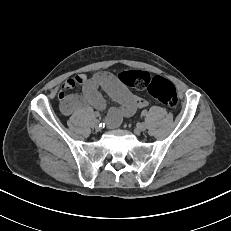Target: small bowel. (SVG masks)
I'll list each match as a JSON object with an SVG mask.
<instances>
[{"label": "small bowel", "instance_id": "c3829d8e", "mask_svg": "<svg viewBox=\"0 0 231 231\" xmlns=\"http://www.w3.org/2000/svg\"><path fill=\"white\" fill-rule=\"evenodd\" d=\"M76 86H81L82 93L69 94L68 91ZM100 90L118 104L106 116V123L111 128L117 127L124 117L132 116L138 109L148 105L146 99L132 93L114 74L100 71L92 76H73L62 84L58 94L62 113L69 116L86 108L104 110L106 102Z\"/></svg>", "mask_w": 231, "mask_h": 231}]
</instances>
